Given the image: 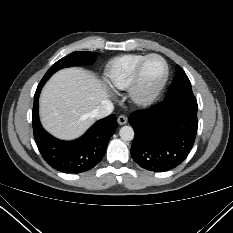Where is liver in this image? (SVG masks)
Here are the masks:
<instances>
[{"instance_id":"liver-1","label":"liver","mask_w":233,"mask_h":233,"mask_svg":"<svg viewBox=\"0 0 233 233\" xmlns=\"http://www.w3.org/2000/svg\"><path fill=\"white\" fill-rule=\"evenodd\" d=\"M109 97L106 87L82 68L56 72L45 84L40 96V119L53 136L72 140L93 123L90 112Z\"/></svg>"}]
</instances>
